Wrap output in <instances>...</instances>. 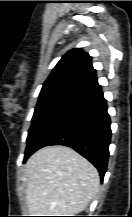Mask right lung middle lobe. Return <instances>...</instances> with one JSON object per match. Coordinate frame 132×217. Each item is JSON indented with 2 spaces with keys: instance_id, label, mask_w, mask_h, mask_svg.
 Returning <instances> with one entry per match:
<instances>
[{
  "instance_id": "1",
  "label": "right lung middle lobe",
  "mask_w": 132,
  "mask_h": 217,
  "mask_svg": "<svg viewBox=\"0 0 132 217\" xmlns=\"http://www.w3.org/2000/svg\"><path fill=\"white\" fill-rule=\"evenodd\" d=\"M76 98V95L67 92H50L39 95L32 125L28 131L27 149L32 146L56 115Z\"/></svg>"
}]
</instances>
